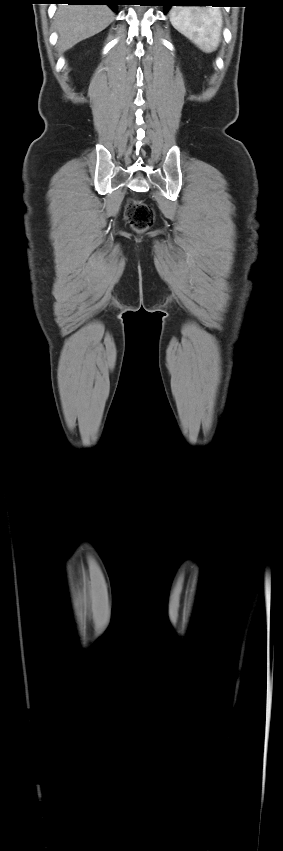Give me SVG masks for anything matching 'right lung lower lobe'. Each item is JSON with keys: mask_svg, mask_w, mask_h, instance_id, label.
<instances>
[{"mask_svg": "<svg viewBox=\"0 0 283 851\" xmlns=\"http://www.w3.org/2000/svg\"><path fill=\"white\" fill-rule=\"evenodd\" d=\"M52 3L69 5H108L114 12L120 0H51Z\"/></svg>", "mask_w": 283, "mask_h": 851, "instance_id": "1", "label": "right lung lower lobe"}]
</instances>
